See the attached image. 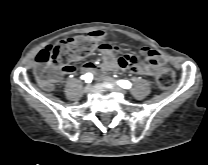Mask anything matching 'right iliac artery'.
Wrapping results in <instances>:
<instances>
[{
	"label": "right iliac artery",
	"instance_id": "1",
	"mask_svg": "<svg viewBox=\"0 0 208 165\" xmlns=\"http://www.w3.org/2000/svg\"><path fill=\"white\" fill-rule=\"evenodd\" d=\"M82 79H84L86 81V83H91L93 76L91 73H87L82 76Z\"/></svg>",
	"mask_w": 208,
	"mask_h": 165
}]
</instances>
